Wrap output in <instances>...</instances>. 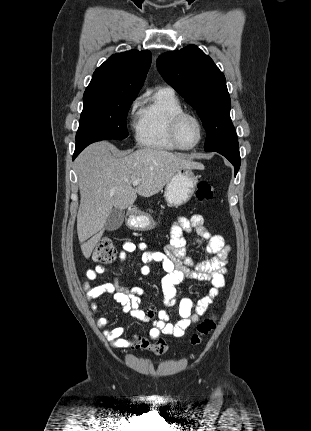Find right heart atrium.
Instances as JSON below:
<instances>
[{"label": "right heart atrium", "mask_w": 311, "mask_h": 431, "mask_svg": "<svg viewBox=\"0 0 311 431\" xmlns=\"http://www.w3.org/2000/svg\"><path fill=\"white\" fill-rule=\"evenodd\" d=\"M143 101H144V96H138L134 98L129 107L130 114H134L137 108L142 104Z\"/></svg>", "instance_id": "1"}]
</instances>
